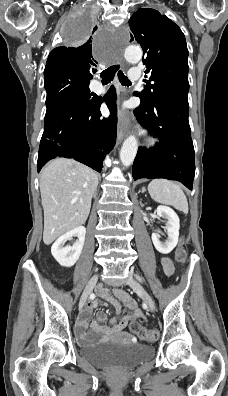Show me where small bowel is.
Wrapping results in <instances>:
<instances>
[{"label":"small bowel","instance_id":"1","mask_svg":"<svg viewBox=\"0 0 228 396\" xmlns=\"http://www.w3.org/2000/svg\"><path fill=\"white\" fill-rule=\"evenodd\" d=\"M161 264L164 272L167 275L173 274L174 265L169 258L163 257L161 259ZM98 294L103 299L107 300L115 310V315L110 320L112 327L103 325V322L106 320V314L103 311L97 312L96 320L90 325L88 324L92 310L98 306V302L96 300H91L87 303L75 325V334L78 340L81 343H91L99 339L111 337L132 339V337L127 332H125V328L130 325L131 322L137 321L138 319H143L144 312L137 306L135 301L121 289H116L112 295L108 289L99 288ZM120 302H122L128 308L130 313L118 322L117 315L121 311Z\"/></svg>","mask_w":228,"mask_h":396}]
</instances>
